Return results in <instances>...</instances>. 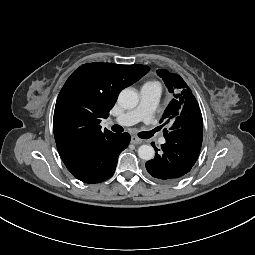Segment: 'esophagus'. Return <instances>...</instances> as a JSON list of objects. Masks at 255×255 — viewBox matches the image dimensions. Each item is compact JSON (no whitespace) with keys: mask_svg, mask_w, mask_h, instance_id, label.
Wrapping results in <instances>:
<instances>
[{"mask_svg":"<svg viewBox=\"0 0 255 255\" xmlns=\"http://www.w3.org/2000/svg\"><path fill=\"white\" fill-rule=\"evenodd\" d=\"M131 143L132 144H141V143H143V140L138 138V137H136V136H132L131 137Z\"/></svg>","mask_w":255,"mask_h":255,"instance_id":"obj_1","label":"esophagus"}]
</instances>
